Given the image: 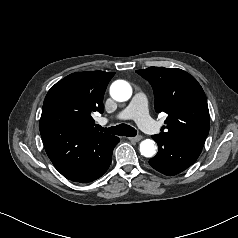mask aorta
<instances>
[{"label": "aorta", "mask_w": 238, "mask_h": 238, "mask_svg": "<svg viewBox=\"0 0 238 238\" xmlns=\"http://www.w3.org/2000/svg\"><path fill=\"white\" fill-rule=\"evenodd\" d=\"M111 97L119 102L127 101L132 96V88L130 84L124 80H117L110 86ZM157 147L151 139H145L140 143V153L144 157H153Z\"/></svg>", "instance_id": "762f6f07"}]
</instances>
